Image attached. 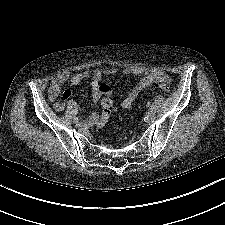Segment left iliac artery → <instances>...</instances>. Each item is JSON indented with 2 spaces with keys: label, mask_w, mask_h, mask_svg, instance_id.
Segmentation results:
<instances>
[{
  "label": "left iliac artery",
  "mask_w": 225,
  "mask_h": 225,
  "mask_svg": "<svg viewBox=\"0 0 225 225\" xmlns=\"http://www.w3.org/2000/svg\"><path fill=\"white\" fill-rule=\"evenodd\" d=\"M151 109H155L154 105H151Z\"/></svg>",
  "instance_id": "1"
}]
</instances>
